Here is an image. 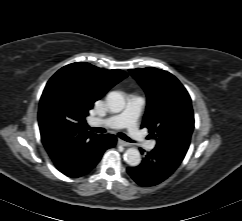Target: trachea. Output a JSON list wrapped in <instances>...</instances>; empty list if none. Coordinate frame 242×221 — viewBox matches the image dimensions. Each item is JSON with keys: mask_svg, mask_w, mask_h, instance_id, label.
Here are the masks:
<instances>
[{"mask_svg": "<svg viewBox=\"0 0 242 221\" xmlns=\"http://www.w3.org/2000/svg\"><path fill=\"white\" fill-rule=\"evenodd\" d=\"M87 128L90 130V131H93V132H96V133H105L106 130L104 128H94V127H89L87 126ZM121 139L127 141V142H134L133 140H131L128 136H126L125 134L119 132L117 134Z\"/></svg>", "mask_w": 242, "mask_h": 221, "instance_id": "obj_1", "label": "trachea"}]
</instances>
